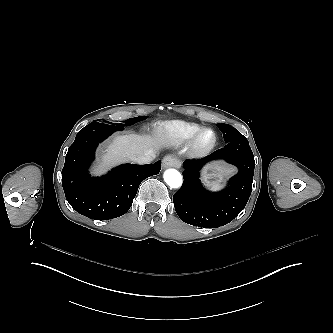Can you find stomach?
I'll return each instance as SVG.
<instances>
[{"mask_svg": "<svg viewBox=\"0 0 333 333\" xmlns=\"http://www.w3.org/2000/svg\"><path fill=\"white\" fill-rule=\"evenodd\" d=\"M236 172V168L232 166H224L218 163L207 165L202 172V179L206 184H212L219 181L225 176L232 175Z\"/></svg>", "mask_w": 333, "mask_h": 333, "instance_id": "1", "label": "stomach"}]
</instances>
